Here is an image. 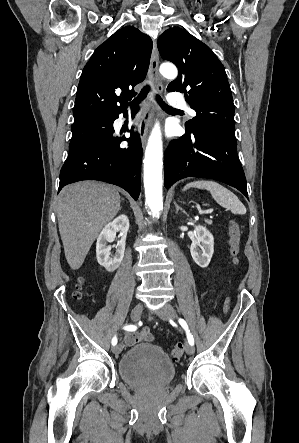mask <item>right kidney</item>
<instances>
[{
	"mask_svg": "<svg viewBox=\"0 0 299 443\" xmlns=\"http://www.w3.org/2000/svg\"><path fill=\"white\" fill-rule=\"evenodd\" d=\"M120 230L123 234L116 246L115 255H111V246L108 243L113 242L116 237V232ZM129 230V219L126 215H120L112 222L108 223L97 238L96 243V257L98 263L107 271H115L123 260L126 236Z\"/></svg>",
	"mask_w": 299,
	"mask_h": 443,
	"instance_id": "1",
	"label": "right kidney"
}]
</instances>
